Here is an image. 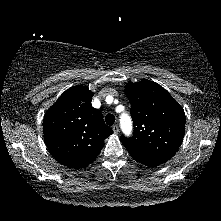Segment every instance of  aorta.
I'll use <instances>...</instances> for the list:
<instances>
[{
    "label": "aorta",
    "instance_id": "1",
    "mask_svg": "<svg viewBox=\"0 0 221 221\" xmlns=\"http://www.w3.org/2000/svg\"><path fill=\"white\" fill-rule=\"evenodd\" d=\"M120 125H121V128H122V131L125 133V134H130L131 131H132V120H131V117L124 113L121 115L120 117Z\"/></svg>",
    "mask_w": 221,
    "mask_h": 221
}]
</instances>
